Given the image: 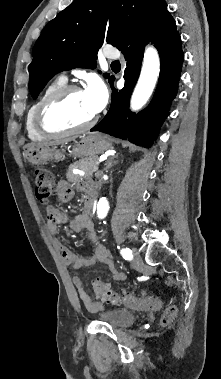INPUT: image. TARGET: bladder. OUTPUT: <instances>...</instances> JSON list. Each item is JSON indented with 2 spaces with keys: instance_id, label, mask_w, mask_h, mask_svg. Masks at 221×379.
I'll use <instances>...</instances> for the list:
<instances>
[{
  "instance_id": "1",
  "label": "bladder",
  "mask_w": 221,
  "mask_h": 379,
  "mask_svg": "<svg viewBox=\"0 0 221 379\" xmlns=\"http://www.w3.org/2000/svg\"><path fill=\"white\" fill-rule=\"evenodd\" d=\"M98 318L116 328H126L132 325L136 319L132 312L119 308L101 312Z\"/></svg>"
}]
</instances>
